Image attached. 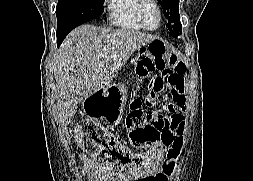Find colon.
Returning a JSON list of instances; mask_svg holds the SVG:
<instances>
[{
	"label": "colon",
	"mask_w": 253,
	"mask_h": 181,
	"mask_svg": "<svg viewBox=\"0 0 253 181\" xmlns=\"http://www.w3.org/2000/svg\"><path fill=\"white\" fill-rule=\"evenodd\" d=\"M148 45L149 48H141V53L154 55L157 67L165 71V75L155 82L144 102L139 98L129 102L125 118L130 143L146 150L133 151L103 127L85 120L75 129L79 144L108 172L136 175L165 163L176 144L174 131L179 128L177 114L184 107L186 67L175 56L178 47H168L161 38H153Z\"/></svg>",
	"instance_id": "1"
}]
</instances>
